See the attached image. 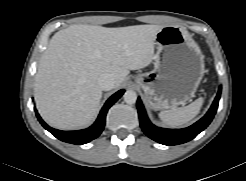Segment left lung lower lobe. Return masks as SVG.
<instances>
[{
  "label": "left lung lower lobe",
  "mask_w": 246,
  "mask_h": 181,
  "mask_svg": "<svg viewBox=\"0 0 246 181\" xmlns=\"http://www.w3.org/2000/svg\"><path fill=\"white\" fill-rule=\"evenodd\" d=\"M220 95L221 88H219L218 94L206 115L193 125L184 129H164L153 125L146 115L140 98H138L137 107L141 128L148 137L164 145H178L188 142L195 138L211 123L217 111Z\"/></svg>",
  "instance_id": "0a47b994"
}]
</instances>
